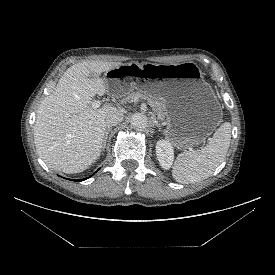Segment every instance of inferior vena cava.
<instances>
[{
  "mask_svg": "<svg viewBox=\"0 0 275 275\" xmlns=\"http://www.w3.org/2000/svg\"><path fill=\"white\" fill-rule=\"evenodd\" d=\"M123 117L124 116L122 112L114 110L107 114L105 123L108 127L116 126L122 122Z\"/></svg>",
  "mask_w": 275,
  "mask_h": 275,
  "instance_id": "inferior-vena-cava-1",
  "label": "inferior vena cava"
}]
</instances>
